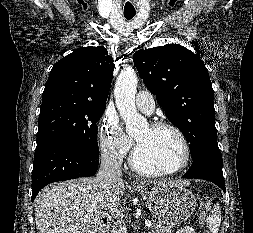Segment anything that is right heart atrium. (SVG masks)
<instances>
[{"label":"right heart atrium","mask_w":253,"mask_h":233,"mask_svg":"<svg viewBox=\"0 0 253 233\" xmlns=\"http://www.w3.org/2000/svg\"><path fill=\"white\" fill-rule=\"evenodd\" d=\"M99 146L103 154L116 161H122L130 152L131 139L124 133L118 119L106 115L99 126Z\"/></svg>","instance_id":"1"}]
</instances>
